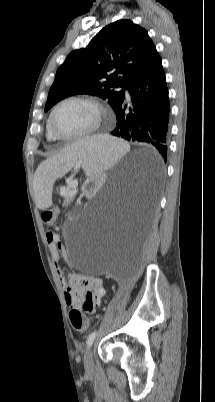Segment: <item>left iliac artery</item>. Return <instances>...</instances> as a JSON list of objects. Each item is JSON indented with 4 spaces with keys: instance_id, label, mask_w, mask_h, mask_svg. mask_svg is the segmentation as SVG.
Returning <instances> with one entry per match:
<instances>
[{
    "instance_id": "1",
    "label": "left iliac artery",
    "mask_w": 215,
    "mask_h": 402,
    "mask_svg": "<svg viewBox=\"0 0 215 402\" xmlns=\"http://www.w3.org/2000/svg\"><path fill=\"white\" fill-rule=\"evenodd\" d=\"M96 335H97L96 331H94L93 333L90 334V336L88 337V339L86 341L87 347H90L93 344Z\"/></svg>"
}]
</instances>
